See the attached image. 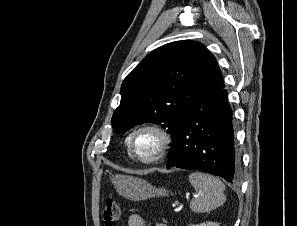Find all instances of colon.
Masks as SVG:
<instances>
[{
    "label": "colon",
    "mask_w": 297,
    "mask_h": 226,
    "mask_svg": "<svg viewBox=\"0 0 297 226\" xmlns=\"http://www.w3.org/2000/svg\"><path fill=\"white\" fill-rule=\"evenodd\" d=\"M119 219H120L119 204L113 199H108L105 202L104 210H103V220L106 226H113L114 223L119 221Z\"/></svg>",
    "instance_id": "5ec220e1"
}]
</instances>
